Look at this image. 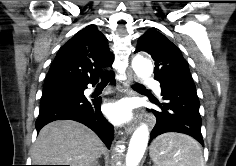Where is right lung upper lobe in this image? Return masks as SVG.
<instances>
[{"label": "right lung upper lobe", "mask_w": 236, "mask_h": 166, "mask_svg": "<svg viewBox=\"0 0 236 166\" xmlns=\"http://www.w3.org/2000/svg\"><path fill=\"white\" fill-rule=\"evenodd\" d=\"M114 61L106 37L89 25L75 34L58 51L45 82L60 79L91 81L103 76Z\"/></svg>", "instance_id": "right-lung-upper-lobe-1"}]
</instances>
